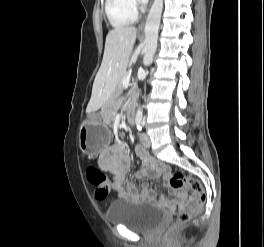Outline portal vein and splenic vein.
Listing matches in <instances>:
<instances>
[{
    "label": "portal vein and splenic vein",
    "mask_w": 264,
    "mask_h": 247,
    "mask_svg": "<svg viewBox=\"0 0 264 247\" xmlns=\"http://www.w3.org/2000/svg\"><path fill=\"white\" fill-rule=\"evenodd\" d=\"M130 79H131V77H130V76H127V77H125V78L122 80V85H123V87L127 86V85L130 83Z\"/></svg>",
    "instance_id": "obj_1"
}]
</instances>
